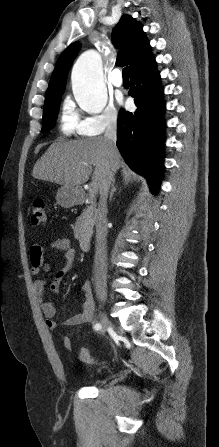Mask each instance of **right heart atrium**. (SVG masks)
Masks as SVG:
<instances>
[{
  "label": "right heart atrium",
  "mask_w": 219,
  "mask_h": 447,
  "mask_svg": "<svg viewBox=\"0 0 219 447\" xmlns=\"http://www.w3.org/2000/svg\"><path fill=\"white\" fill-rule=\"evenodd\" d=\"M118 121L119 115L116 108L109 105L100 114L84 119L82 125L86 135H99L114 128Z\"/></svg>",
  "instance_id": "d8ad5b80"
}]
</instances>
